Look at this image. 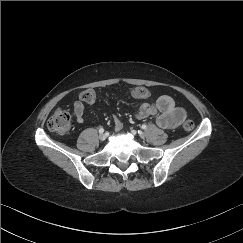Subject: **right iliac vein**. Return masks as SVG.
<instances>
[{
  "label": "right iliac vein",
  "mask_w": 243,
  "mask_h": 243,
  "mask_svg": "<svg viewBox=\"0 0 243 243\" xmlns=\"http://www.w3.org/2000/svg\"><path fill=\"white\" fill-rule=\"evenodd\" d=\"M99 139H100L101 141H104V140L106 139V135H105V134H100V135H99Z\"/></svg>",
  "instance_id": "63e3f726"
}]
</instances>
